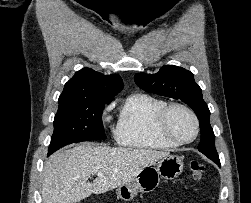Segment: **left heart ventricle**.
<instances>
[{"label": "left heart ventricle", "instance_id": "1", "mask_svg": "<svg viewBox=\"0 0 251 203\" xmlns=\"http://www.w3.org/2000/svg\"><path fill=\"white\" fill-rule=\"evenodd\" d=\"M168 130L178 139H189L195 131L192 117L183 109L175 108L168 118Z\"/></svg>", "mask_w": 251, "mask_h": 203}]
</instances>
